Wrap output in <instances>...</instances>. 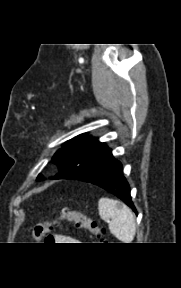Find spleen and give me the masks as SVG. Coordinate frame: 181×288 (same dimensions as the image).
<instances>
[{"label":"spleen","instance_id":"1","mask_svg":"<svg viewBox=\"0 0 181 288\" xmlns=\"http://www.w3.org/2000/svg\"><path fill=\"white\" fill-rule=\"evenodd\" d=\"M98 210L101 219L109 223L110 232L123 243H131L136 224L131 210L122 202L107 197L100 198Z\"/></svg>","mask_w":181,"mask_h":288}]
</instances>
